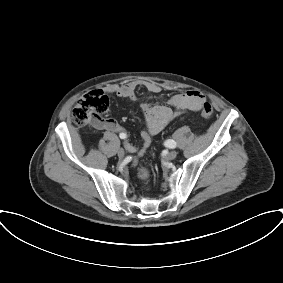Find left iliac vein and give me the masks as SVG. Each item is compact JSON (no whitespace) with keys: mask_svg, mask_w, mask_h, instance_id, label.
Listing matches in <instances>:
<instances>
[{"mask_svg":"<svg viewBox=\"0 0 283 283\" xmlns=\"http://www.w3.org/2000/svg\"><path fill=\"white\" fill-rule=\"evenodd\" d=\"M177 157V152L175 150L170 151L167 155H166V159L167 160H173Z\"/></svg>","mask_w":283,"mask_h":283,"instance_id":"obj_1","label":"left iliac vein"}]
</instances>
